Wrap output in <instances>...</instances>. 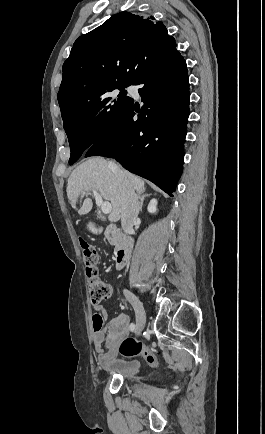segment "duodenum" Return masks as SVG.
I'll use <instances>...</instances> for the list:
<instances>
[{
    "label": "duodenum",
    "instance_id": "duodenum-1",
    "mask_svg": "<svg viewBox=\"0 0 265 434\" xmlns=\"http://www.w3.org/2000/svg\"><path fill=\"white\" fill-rule=\"evenodd\" d=\"M90 229H95V221L89 220ZM103 232L112 245H117L119 241L122 240L121 244L115 250L114 264L116 269H121L126 261L130 258L133 252L134 244L131 239L127 237L122 238L121 230L115 225H109L103 229Z\"/></svg>",
    "mask_w": 265,
    "mask_h": 434
}]
</instances>
